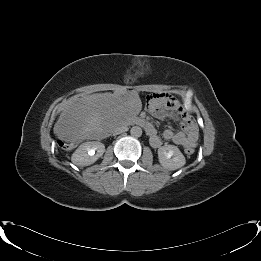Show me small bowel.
<instances>
[{
	"label": "small bowel",
	"mask_w": 261,
	"mask_h": 261,
	"mask_svg": "<svg viewBox=\"0 0 261 261\" xmlns=\"http://www.w3.org/2000/svg\"><path fill=\"white\" fill-rule=\"evenodd\" d=\"M152 104L149 106V113L158 120H164L169 115L175 113L181 121L182 131L175 132L172 129L163 131L162 136L165 140L171 141L184 147H195L198 141V126L191 115L182 107L180 102L168 93L155 94ZM164 108L169 110L167 112ZM147 132L150 142L154 147L161 144V139L155 127L148 123Z\"/></svg>",
	"instance_id": "1"
}]
</instances>
